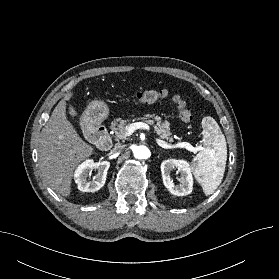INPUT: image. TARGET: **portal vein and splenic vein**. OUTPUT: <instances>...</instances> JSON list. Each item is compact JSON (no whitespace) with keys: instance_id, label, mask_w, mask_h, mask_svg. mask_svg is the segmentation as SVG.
I'll use <instances>...</instances> for the list:
<instances>
[{"instance_id":"18ae733b","label":"portal vein and splenic vein","mask_w":279,"mask_h":279,"mask_svg":"<svg viewBox=\"0 0 279 279\" xmlns=\"http://www.w3.org/2000/svg\"><path fill=\"white\" fill-rule=\"evenodd\" d=\"M137 129H143V130L150 131V126L144 122H136V123L129 124L128 126H126V136L132 135V133ZM156 142L159 146H161L162 148H165V149L185 148L188 151L194 152V153L197 152L198 150L203 149L202 147H193L188 142H180L176 145H169L168 143H166L165 141H163L159 138H156Z\"/></svg>"}]
</instances>
